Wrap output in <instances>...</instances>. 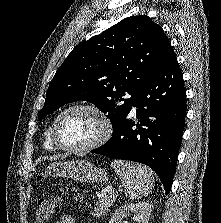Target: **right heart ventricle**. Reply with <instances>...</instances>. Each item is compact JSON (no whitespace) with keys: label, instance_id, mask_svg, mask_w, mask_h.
<instances>
[{"label":"right heart ventricle","instance_id":"e07e8e85","mask_svg":"<svg viewBox=\"0 0 221 223\" xmlns=\"http://www.w3.org/2000/svg\"><path fill=\"white\" fill-rule=\"evenodd\" d=\"M53 122L50 124L49 128L47 129L45 133V145L46 147L53 148L55 145L53 144L51 140V131H52Z\"/></svg>","mask_w":221,"mask_h":223}]
</instances>
